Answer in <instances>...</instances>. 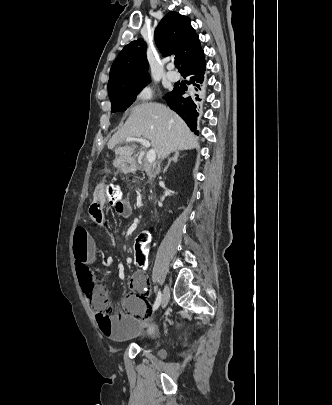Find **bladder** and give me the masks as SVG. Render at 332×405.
Here are the masks:
<instances>
[{
    "instance_id": "bladder-1",
    "label": "bladder",
    "mask_w": 332,
    "mask_h": 405,
    "mask_svg": "<svg viewBox=\"0 0 332 405\" xmlns=\"http://www.w3.org/2000/svg\"><path fill=\"white\" fill-rule=\"evenodd\" d=\"M156 355L158 358L163 359L165 357V351L163 349H159L156 351Z\"/></svg>"
}]
</instances>
